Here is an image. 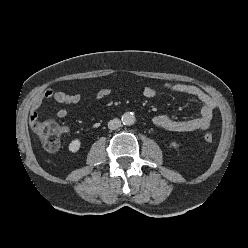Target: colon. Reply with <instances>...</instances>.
Wrapping results in <instances>:
<instances>
[{"mask_svg": "<svg viewBox=\"0 0 248 248\" xmlns=\"http://www.w3.org/2000/svg\"><path fill=\"white\" fill-rule=\"evenodd\" d=\"M33 131L47 151L55 152L59 149L62 130L57 122L53 120L36 122L33 125ZM204 140L211 143L213 140L212 134L206 133Z\"/></svg>", "mask_w": 248, "mask_h": 248, "instance_id": "obj_1", "label": "colon"}]
</instances>
